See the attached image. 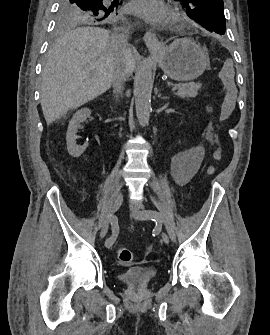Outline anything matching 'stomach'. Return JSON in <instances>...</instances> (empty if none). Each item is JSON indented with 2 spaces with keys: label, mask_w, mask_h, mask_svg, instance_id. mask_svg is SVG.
<instances>
[{
  "label": "stomach",
  "mask_w": 270,
  "mask_h": 335,
  "mask_svg": "<svg viewBox=\"0 0 270 335\" xmlns=\"http://www.w3.org/2000/svg\"><path fill=\"white\" fill-rule=\"evenodd\" d=\"M156 56L160 68L166 76L177 82H188L210 70L209 56L192 38H178L170 46L149 48Z\"/></svg>",
  "instance_id": "stomach-1"
}]
</instances>
